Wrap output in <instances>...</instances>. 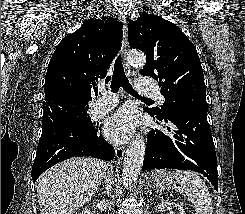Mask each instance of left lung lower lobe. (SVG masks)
<instances>
[{
	"instance_id": "1",
	"label": "left lung lower lobe",
	"mask_w": 245,
	"mask_h": 214,
	"mask_svg": "<svg viewBox=\"0 0 245 214\" xmlns=\"http://www.w3.org/2000/svg\"><path fill=\"white\" fill-rule=\"evenodd\" d=\"M145 111L155 115L149 109ZM167 119L176 129L168 127L170 134L158 129L149 132L142 170H193L207 177L218 191L217 158L207 111L189 110Z\"/></svg>"
}]
</instances>
